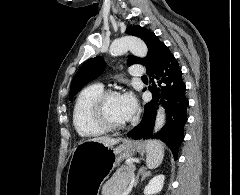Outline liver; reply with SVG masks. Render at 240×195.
I'll use <instances>...</instances> for the list:
<instances>
[{"label":"liver","instance_id":"liver-1","mask_svg":"<svg viewBox=\"0 0 240 195\" xmlns=\"http://www.w3.org/2000/svg\"><path fill=\"white\" fill-rule=\"evenodd\" d=\"M87 141H102V143H107V145H115V143H119L120 139L107 137V135H101V137H93V139H87Z\"/></svg>","mask_w":240,"mask_h":195}]
</instances>
